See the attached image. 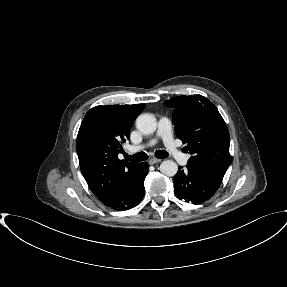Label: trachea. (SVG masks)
I'll list each match as a JSON object with an SVG mask.
<instances>
[{
	"label": "trachea",
	"instance_id": "obj_1",
	"mask_svg": "<svg viewBox=\"0 0 287 287\" xmlns=\"http://www.w3.org/2000/svg\"><path fill=\"white\" fill-rule=\"evenodd\" d=\"M124 157L126 161H145L148 159V155L144 152H139L134 155H128L124 153ZM155 157L162 159L168 157V153L165 150H157L155 152Z\"/></svg>",
	"mask_w": 287,
	"mask_h": 287
}]
</instances>
